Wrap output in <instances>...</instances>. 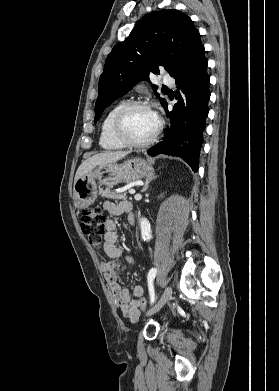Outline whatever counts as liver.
<instances>
[{
  "label": "liver",
  "mask_w": 279,
  "mask_h": 391,
  "mask_svg": "<svg viewBox=\"0 0 279 391\" xmlns=\"http://www.w3.org/2000/svg\"><path fill=\"white\" fill-rule=\"evenodd\" d=\"M128 153L126 152H101L98 153L85 161L82 162V164L79 166L75 179V182L82 176H85L90 171H92L96 166L98 165H105V164H111L115 163L121 159H123L125 156H127Z\"/></svg>",
  "instance_id": "1"
}]
</instances>
